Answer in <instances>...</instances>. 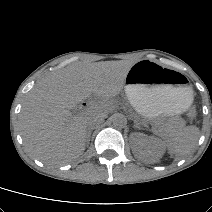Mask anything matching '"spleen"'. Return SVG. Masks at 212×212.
Segmentation results:
<instances>
[{"label":"spleen","mask_w":212,"mask_h":212,"mask_svg":"<svg viewBox=\"0 0 212 212\" xmlns=\"http://www.w3.org/2000/svg\"><path fill=\"white\" fill-rule=\"evenodd\" d=\"M199 135V129L195 126L183 128L169 140L167 147L170 154L176 159L188 155L193 149Z\"/></svg>","instance_id":"3e777b00"}]
</instances>
